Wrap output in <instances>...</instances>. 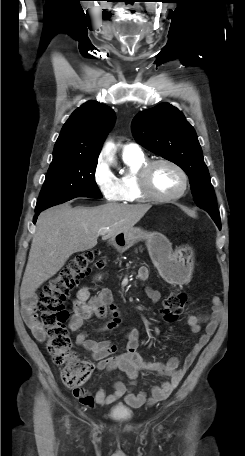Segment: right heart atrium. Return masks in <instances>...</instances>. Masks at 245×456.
Listing matches in <instances>:
<instances>
[{
  "label": "right heart atrium",
  "mask_w": 245,
  "mask_h": 456,
  "mask_svg": "<svg viewBox=\"0 0 245 456\" xmlns=\"http://www.w3.org/2000/svg\"><path fill=\"white\" fill-rule=\"evenodd\" d=\"M92 176L96 187L106 200L119 201L121 199L118 178L102 158L96 162Z\"/></svg>",
  "instance_id": "right-heart-atrium-1"
}]
</instances>
